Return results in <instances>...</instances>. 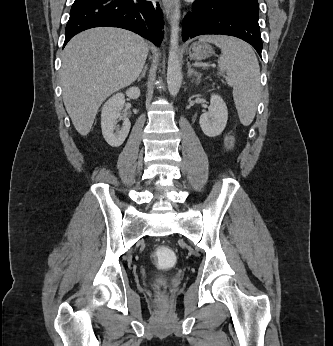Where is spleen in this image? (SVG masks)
<instances>
[{
	"label": "spleen",
	"mask_w": 333,
	"mask_h": 346,
	"mask_svg": "<svg viewBox=\"0 0 333 346\" xmlns=\"http://www.w3.org/2000/svg\"><path fill=\"white\" fill-rule=\"evenodd\" d=\"M218 46L222 55L218 60L221 73L227 72L226 80L233 87V98L239 119L244 126L253 121L259 102L260 68L252 48L245 42L227 36L206 35L199 38Z\"/></svg>",
	"instance_id": "spleen-1"
}]
</instances>
